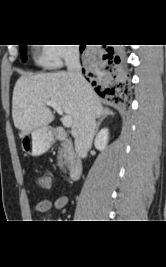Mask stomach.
I'll use <instances>...</instances> for the list:
<instances>
[{
	"label": "stomach",
	"instance_id": "1",
	"mask_svg": "<svg viewBox=\"0 0 166 267\" xmlns=\"http://www.w3.org/2000/svg\"><path fill=\"white\" fill-rule=\"evenodd\" d=\"M54 136L47 126L36 128L22 137L21 145L24 152L32 156H40L47 152L53 144Z\"/></svg>",
	"mask_w": 166,
	"mask_h": 267
}]
</instances>
